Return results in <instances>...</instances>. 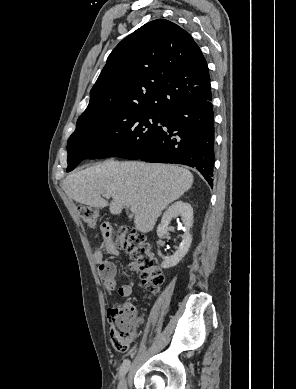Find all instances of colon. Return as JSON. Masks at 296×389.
Listing matches in <instances>:
<instances>
[{
    "label": "colon",
    "mask_w": 296,
    "mask_h": 389,
    "mask_svg": "<svg viewBox=\"0 0 296 389\" xmlns=\"http://www.w3.org/2000/svg\"><path fill=\"white\" fill-rule=\"evenodd\" d=\"M78 213L83 222L94 227L100 219L97 208L79 205ZM116 248L126 250L140 268V278L143 285L153 291L158 290L164 282V275L159 267L158 259L146 237L131 228H120L112 239ZM110 335L113 346L118 351H126L138 336V318L133 306L114 307L108 310Z\"/></svg>",
    "instance_id": "obj_1"
}]
</instances>
